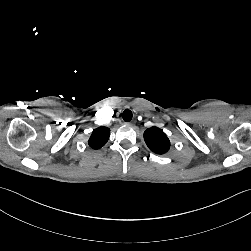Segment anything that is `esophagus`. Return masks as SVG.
I'll list each match as a JSON object with an SVG mask.
<instances>
[{
    "mask_svg": "<svg viewBox=\"0 0 251 251\" xmlns=\"http://www.w3.org/2000/svg\"><path fill=\"white\" fill-rule=\"evenodd\" d=\"M128 125H133V122H127Z\"/></svg>",
    "mask_w": 251,
    "mask_h": 251,
    "instance_id": "34e87169",
    "label": "esophagus"
}]
</instances>
